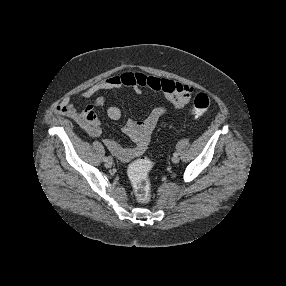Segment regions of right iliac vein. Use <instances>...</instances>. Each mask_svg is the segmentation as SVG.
Instances as JSON below:
<instances>
[{"mask_svg":"<svg viewBox=\"0 0 286 286\" xmlns=\"http://www.w3.org/2000/svg\"><path fill=\"white\" fill-rule=\"evenodd\" d=\"M112 164H113L112 161H111V160H108V161L105 162V167H106V168H111V167H112Z\"/></svg>","mask_w":286,"mask_h":286,"instance_id":"1","label":"right iliac vein"}]
</instances>
